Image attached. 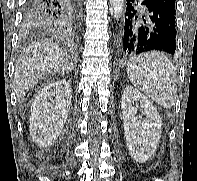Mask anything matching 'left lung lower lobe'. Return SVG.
Returning <instances> with one entry per match:
<instances>
[{
    "mask_svg": "<svg viewBox=\"0 0 197 181\" xmlns=\"http://www.w3.org/2000/svg\"><path fill=\"white\" fill-rule=\"evenodd\" d=\"M176 0H126L117 54L125 59L148 51H176ZM143 6L144 15L136 10Z\"/></svg>",
    "mask_w": 197,
    "mask_h": 181,
    "instance_id": "obj_1",
    "label": "left lung lower lobe"
}]
</instances>
